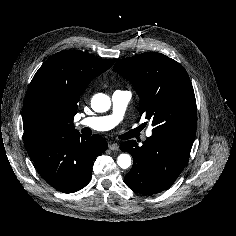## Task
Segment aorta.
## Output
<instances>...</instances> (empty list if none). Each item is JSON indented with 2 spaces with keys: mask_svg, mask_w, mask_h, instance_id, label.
Here are the masks:
<instances>
[{
  "mask_svg": "<svg viewBox=\"0 0 236 236\" xmlns=\"http://www.w3.org/2000/svg\"><path fill=\"white\" fill-rule=\"evenodd\" d=\"M92 109L96 112H106L111 106L110 98L105 95H96L91 102ZM119 167L127 169L131 166V157L128 154H120L117 159Z\"/></svg>",
  "mask_w": 236,
  "mask_h": 236,
  "instance_id": "obj_1",
  "label": "aorta"
}]
</instances>
